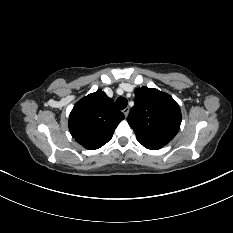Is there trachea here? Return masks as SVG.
<instances>
[{
  "label": "trachea",
  "instance_id": "obj_1",
  "mask_svg": "<svg viewBox=\"0 0 233 233\" xmlns=\"http://www.w3.org/2000/svg\"><path fill=\"white\" fill-rule=\"evenodd\" d=\"M127 104H128V101H127V99L126 98H124V97H119V98H117V100H116V105H117V107L119 108V109H125L126 108V106H127Z\"/></svg>",
  "mask_w": 233,
  "mask_h": 233
}]
</instances>
